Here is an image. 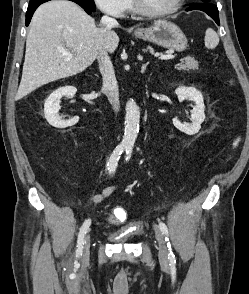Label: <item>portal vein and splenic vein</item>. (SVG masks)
Wrapping results in <instances>:
<instances>
[{
    "instance_id": "1",
    "label": "portal vein and splenic vein",
    "mask_w": 249,
    "mask_h": 294,
    "mask_svg": "<svg viewBox=\"0 0 249 294\" xmlns=\"http://www.w3.org/2000/svg\"><path fill=\"white\" fill-rule=\"evenodd\" d=\"M58 50H59V52H60L63 56H65V60H70V59L73 58V54H72L70 51H68V50H66V49H64V48H59ZM160 59H161V60L174 59V56H173V55H170V54H167V55H161V56H160Z\"/></svg>"
}]
</instances>
